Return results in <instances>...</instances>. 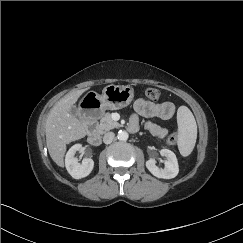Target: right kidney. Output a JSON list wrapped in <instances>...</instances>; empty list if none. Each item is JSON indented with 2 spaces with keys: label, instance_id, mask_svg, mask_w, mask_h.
Wrapping results in <instances>:
<instances>
[{
  "label": "right kidney",
  "instance_id": "1",
  "mask_svg": "<svg viewBox=\"0 0 243 243\" xmlns=\"http://www.w3.org/2000/svg\"><path fill=\"white\" fill-rule=\"evenodd\" d=\"M81 149V144H75L69 149L65 157L66 169L74 179L88 176L94 168V161L91 158H85L81 163L78 162L75 154L81 151Z\"/></svg>",
  "mask_w": 243,
  "mask_h": 243
}]
</instances>
